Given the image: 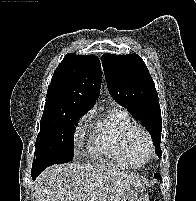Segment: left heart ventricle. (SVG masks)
I'll list each match as a JSON object with an SVG mask.
<instances>
[{"label":"left heart ventricle","mask_w":196,"mask_h":201,"mask_svg":"<svg viewBox=\"0 0 196 201\" xmlns=\"http://www.w3.org/2000/svg\"><path fill=\"white\" fill-rule=\"evenodd\" d=\"M132 153L137 164L144 163L149 154L148 144L144 136L137 135L133 141Z\"/></svg>","instance_id":"b2bd125f"}]
</instances>
